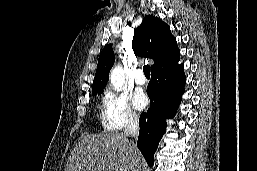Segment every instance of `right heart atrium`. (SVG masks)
Segmentation results:
<instances>
[{
	"instance_id": "1",
	"label": "right heart atrium",
	"mask_w": 257,
	"mask_h": 171,
	"mask_svg": "<svg viewBox=\"0 0 257 171\" xmlns=\"http://www.w3.org/2000/svg\"><path fill=\"white\" fill-rule=\"evenodd\" d=\"M101 116L106 128L115 131L133 126L139 121L129 96L112 89L105 91L102 96Z\"/></svg>"
}]
</instances>
